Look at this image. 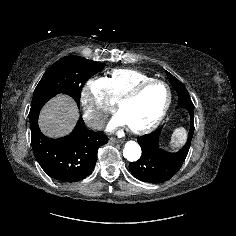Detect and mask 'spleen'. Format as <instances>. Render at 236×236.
<instances>
[{
    "label": "spleen",
    "instance_id": "1",
    "mask_svg": "<svg viewBox=\"0 0 236 236\" xmlns=\"http://www.w3.org/2000/svg\"><path fill=\"white\" fill-rule=\"evenodd\" d=\"M187 139V132L184 128H177L172 134L170 146L171 148H179L183 146Z\"/></svg>",
    "mask_w": 236,
    "mask_h": 236
}]
</instances>
